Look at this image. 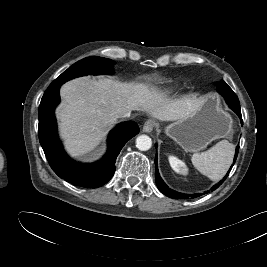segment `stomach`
<instances>
[{"label": "stomach", "instance_id": "1", "mask_svg": "<svg viewBox=\"0 0 267 267\" xmlns=\"http://www.w3.org/2000/svg\"><path fill=\"white\" fill-rule=\"evenodd\" d=\"M233 120L216 97L202 100L198 109L166 127V134L186 152H198L212 141L232 135Z\"/></svg>", "mask_w": 267, "mask_h": 267}]
</instances>
